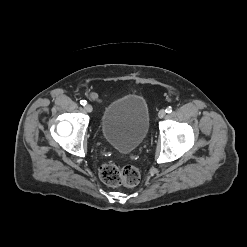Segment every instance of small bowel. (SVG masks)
<instances>
[{"instance_id": "small-bowel-1", "label": "small bowel", "mask_w": 247, "mask_h": 247, "mask_svg": "<svg viewBox=\"0 0 247 247\" xmlns=\"http://www.w3.org/2000/svg\"><path fill=\"white\" fill-rule=\"evenodd\" d=\"M89 97H90L92 100H94V101H98V102L101 101L100 98H99V96H98V94L95 93V92L89 93Z\"/></svg>"}]
</instances>
